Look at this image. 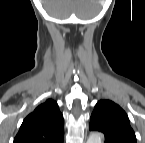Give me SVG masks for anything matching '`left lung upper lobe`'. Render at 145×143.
<instances>
[{
  "mask_svg": "<svg viewBox=\"0 0 145 143\" xmlns=\"http://www.w3.org/2000/svg\"><path fill=\"white\" fill-rule=\"evenodd\" d=\"M90 130L105 135V143H137L125 111L110 100H100L91 115Z\"/></svg>",
  "mask_w": 145,
  "mask_h": 143,
  "instance_id": "5c2ea615",
  "label": "left lung upper lobe"
}]
</instances>
